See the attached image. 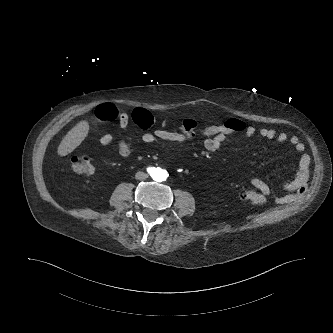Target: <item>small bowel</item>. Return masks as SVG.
Returning <instances> with one entry per match:
<instances>
[{
	"label": "small bowel",
	"mask_w": 333,
	"mask_h": 333,
	"mask_svg": "<svg viewBox=\"0 0 333 333\" xmlns=\"http://www.w3.org/2000/svg\"><path fill=\"white\" fill-rule=\"evenodd\" d=\"M129 119H131L135 124L139 125L142 129L150 128L154 124V117L143 108L134 109L130 117L126 113H120L118 115V126L120 128H125L129 123ZM168 124V119H163L160 122L159 128L152 132L144 133L141 136V140L148 144L173 146L175 144L188 142L196 138L193 132L185 133L181 129L179 131H169L166 129ZM235 134H241L244 139H251L256 134H258L262 138L275 140L282 143L289 142L293 146L294 150L300 155L299 172L293 180L284 184V187L288 190V193L280 196L277 201L279 203L292 202L303 194L306 185V176L310 166V157L304 152L305 146L297 136H288L285 132L279 131L275 128L263 127L257 130L253 126H246V130L244 132ZM235 134L213 135L210 138L204 139L203 146L208 152H216L220 149L224 142H226L231 136ZM112 141L113 135L109 132H103L99 136V143L103 147H108ZM118 152L120 155L127 157L132 153V147L128 141L122 139L118 144ZM250 185L263 195H269L271 193L270 185L263 179L252 178L250 180Z\"/></svg>",
	"instance_id": "1"
}]
</instances>
